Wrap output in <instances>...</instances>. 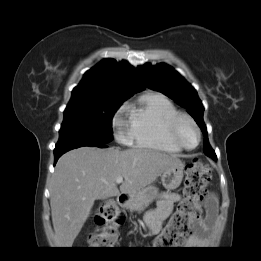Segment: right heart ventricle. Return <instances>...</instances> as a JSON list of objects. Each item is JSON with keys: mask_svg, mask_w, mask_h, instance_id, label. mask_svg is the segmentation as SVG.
Segmentation results:
<instances>
[{"mask_svg": "<svg viewBox=\"0 0 261 261\" xmlns=\"http://www.w3.org/2000/svg\"><path fill=\"white\" fill-rule=\"evenodd\" d=\"M129 142L138 148L166 153L181 149L170 137L169 125L180 114L172 101L161 93L146 92L126 106Z\"/></svg>", "mask_w": 261, "mask_h": 261, "instance_id": "1", "label": "right heart ventricle"}]
</instances>
